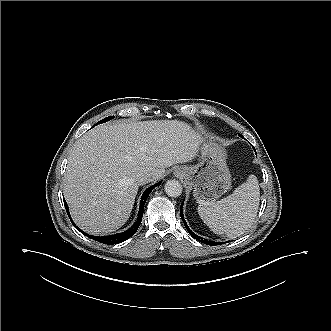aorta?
<instances>
[{"instance_id": "obj_1", "label": "aorta", "mask_w": 331, "mask_h": 331, "mask_svg": "<svg viewBox=\"0 0 331 331\" xmlns=\"http://www.w3.org/2000/svg\"><path fill=\"white\" fill-rule=\"evenodd\" d=\"M169 197H179L182 194V185L175 179L168 180L164 186Z\"/></svg>"}]
</instances>
